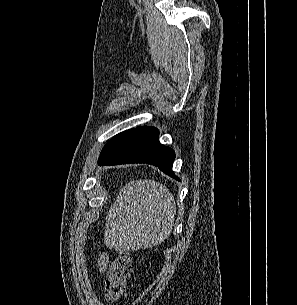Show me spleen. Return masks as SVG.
<instances>
[{"mask_svg":"<svg viewBox=\"0 0 297 305\" xmlns=\"http://www.w3.org/2000/svg\"><path fill=\"white\" fill-rule=\"evenodd\" d=\"M173 195L154 180L130 181L121 188L106 218L105 235L116 249L135 250L163 242L174 225Z\"/></svg>","mask_w":297,"mask_h":305,"instance_id":"1","label":"spleen"}]
</instances>
